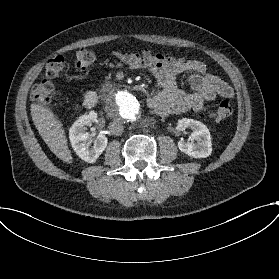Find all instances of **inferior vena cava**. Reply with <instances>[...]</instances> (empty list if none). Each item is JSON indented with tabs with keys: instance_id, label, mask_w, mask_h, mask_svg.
<instances>
[{
	"instance_id": "1",
	"label": "inferior vena cava",
	"mask_w": 279,
	"mask_h": 279,
	"mask_svg": "<svg viewBox=\"0 0 279 279\" xmlns=\"http://www.w3.org/2000/svg\"><path fill=\"white\" fill-rule=\"evenodd\" d=\"M108 127L113 135H121L124 132V126L118 122H110Z\"/></svg>"
}]
</instances>
